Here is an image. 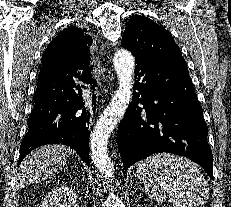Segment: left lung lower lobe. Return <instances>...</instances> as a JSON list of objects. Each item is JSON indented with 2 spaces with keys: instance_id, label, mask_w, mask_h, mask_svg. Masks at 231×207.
Returning a JSON list of instances; mask_svg holds the SVG:
<instances>
[{
  "instance_id": "obj_1",
  "label": "left lung lower lobe",
  "mask_w": 231,
  "mask_h": 207,
  "mask_svg": "<svg viewBox=\"0 0 231 207\" xmlns=\"http://www.w3.org/2000/svg\"><path fill=\"white\" fill-rule=\"evenodd\" d=\"M133 98L117 130L124 168L154 153L185 156L213 179L208 127L187 66L136 57Z\"/></svg>"
}]
</instances>
